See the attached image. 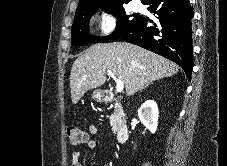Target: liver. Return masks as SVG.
Wrapping results in <instances>:
<instances>
[{
  "mask_svg": "<svg viewBox=\"0 0 227 166\" xmlns=\"http://www.w3.org/2000/svg\"><path fill=\"white\" fill-rule=\"evenodd\" d=\"M111 70L133 95L149 83L175 75L179 66L151 51L125 42L96 44L73 63L70 73L72 103L76 104L89 90L106 82Z\"/></svg>",
  "mask_w": 227,
  "mask_h": 166,
  "instance_id": "liver-1",
  "label": "liver"
}]
</instances>
